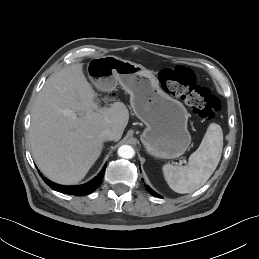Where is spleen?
<instances>
[{
  "label": "spleen",
  "instance_id": "spleen-1",
  "mask_svg": "<svg viewBox=\"0 0 259 259\" xmlns=\"http://www.w3.org/2000/svg\"><path fill=\"white\" fill-rule=\"evenodd\" d=\"M222 149V129L220 125L211 123L199 148L190 155L187 165H163L162 171L169 187L181 194L199 189L215 171L221 158Z\"/></svg>",
  "mask_w": 259,
  "mask_h": 259
}]
</instances>
